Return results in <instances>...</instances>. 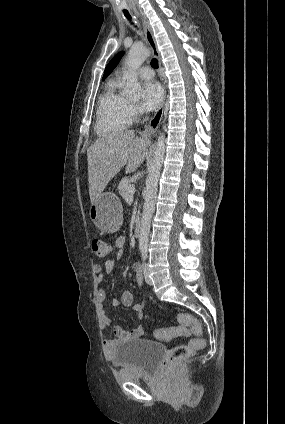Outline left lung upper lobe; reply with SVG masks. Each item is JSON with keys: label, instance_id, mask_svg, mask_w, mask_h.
Returning <instances> with one entry per match:
<instances>
[{"label": "left lung upper lobe", "instance_id": "obj_1", "mask_svg": "<svg viewBox=\"0 0 285 424\" xmlns=\"http://www.w3.org/2000/svg\"><path fill=\"white\" fill-rule=\"evenodd\" d=\"M124 55V52H119L117 53L112 60L109 62V64L106 66L105 71H104V75H103V79L108 77V75L113 71V69L117 66V64L119 63V61L121 60L122 56Z\"/></svg>", "mask_w": 285, "mask_h": 424}]
</instances>
